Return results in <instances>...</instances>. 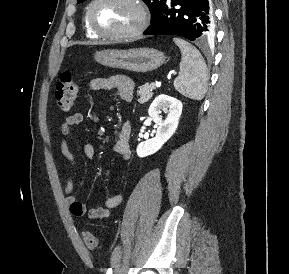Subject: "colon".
<instances>
[{
    "instance_id": "obj_1",
    "label": "colon",
    "mask_w": 289,
    "mask_h": 274,
    "mask_svg": "<svg viewBox=\"0 0 289 274\" xmlns=\"http://www.w3.org/2000/svg\"><path fill=\"white\" fill-rule=\"evenodd\" d=\"M78 86L72 71H64L56 85L55 100L58 107L63 111H69L76 99ZM84 243L89 250H97L99 247L98 240L91 232H85Z\"/></svg>"
}]
</instances>
